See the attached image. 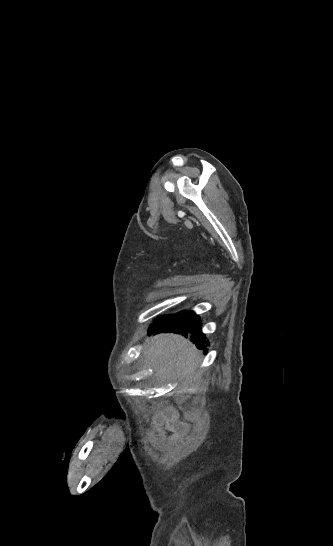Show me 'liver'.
<instances>
[{"label": "liver", "instance_id": "6515ba94", "mask_svg": "<svg viewBox=\"0 0 333 546\" xmlns=\"http://www.w3.org/2000/svg\"><path fill=\"white\" fill-rule=\"evenodd\" d=\"M144 357L154 365L158 380L179 381L186 384L199 366L198 351L188 339L180 335L160 334L146 340Z\"/></svg>", "mask_w": 333, "mask_h": 546}]
</instances>
